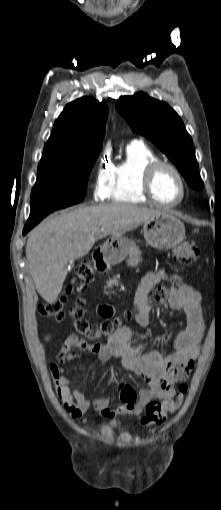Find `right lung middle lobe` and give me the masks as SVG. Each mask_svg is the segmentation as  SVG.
I'll use <instances>...</instances> for the list:
<instances>
[{"label":"right lung middle lobe","mask_w":221,"mask_h":510,"mask_svg":"<svg viewBox=\"0 0 221 510\" xmlns=\"http://www.w3.org/2000/svg\"><path fill=\"white\" fill-rule=\"evenodd\" d=\"M101 148L41 159L31 193V208L58 210L83 201L91 169Z\"/></svg>","instance_id":"1"}]
</instances>
